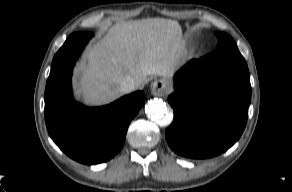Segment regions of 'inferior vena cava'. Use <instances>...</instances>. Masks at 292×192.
I'll return each mask as SVG.
<instances>
[{
  "instance_id": "obj_1",
  "label": "inferior vena cava",
  "mask_w": 292,
  "mask_h": 192,
  "mask_svg": "<svg viewBox=\"0 0 292 192\" xmlns=\"http://www.w3.org/2000/svg\"><path fill=\"white\" fill-rule=\"evenodd\" d=\"M120 84H121V88L124 92H131L136 87L135 81L131 77L124 78Z\"/></svg>"
}]
</instances>
